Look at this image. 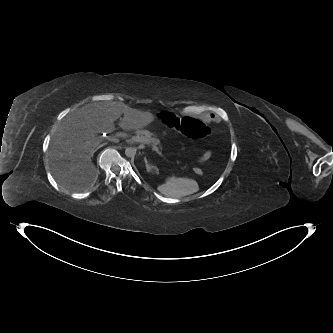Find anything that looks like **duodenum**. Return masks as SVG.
I'll return each mask as SVG.
<instances>
[{"mask_svg": "<svg viewBox=\"0 0 333 333\" xmlns=\"http://www.w3.org/2000/svg\"><path fill=\"white\" fill-rule=\"evenodd\" d=\"M137 135H142V136H151L152 132L151 131H143V130H137L136 131Z\"/></svg>", "mask_w": 333, "mask_h": 333, "instance_id": "410a0bca", "label": "duodenum"}]
</instances>
